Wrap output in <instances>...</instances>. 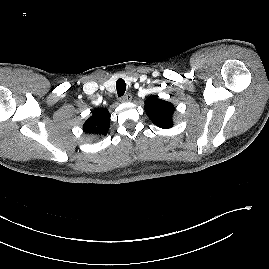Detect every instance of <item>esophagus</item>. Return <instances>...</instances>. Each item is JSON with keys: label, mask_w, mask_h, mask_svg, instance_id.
<instances>
[{"label": "esophagus", "mask_w": 269, "mask_h": 269, "mask_svg": "<svg viewBox=\"0 0 269 269\" xmlns=\"http://www.w3.org/2000/svg\"><path fill=\"white\" fill-rule=\"evenodd\" d=\"M132 100V95L130 93H127L123 97L120 98L121 102H130Z\"/></svg>", "instance_id": "34e87169"}]
</instances>
